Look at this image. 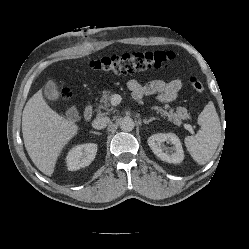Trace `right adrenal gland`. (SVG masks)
<instances>
[{
	"label": "right adrenal gland",
	"instance_id": "obj_1",
	"mask_svg": "<svg viewBox=\"0 0 249 249\" xmlns=\"http://www.w3.org/2000/svg\"><path fill=\"white\" fill-rule=\"evenodd\" d=\"M92 134H96V135H101L102 133L100 132H96V131H91Z\"/></svg>",
	"mask_w": 249,
	"mask_h": 249
}]
</instances>
